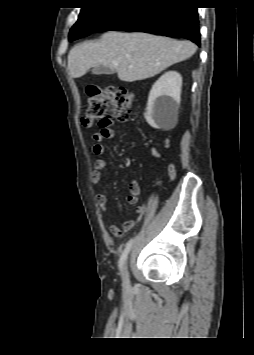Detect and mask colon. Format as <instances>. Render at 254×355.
<instances>
[{
    "instance_id": "colon-1",
    "label": "colon",
    "mask_w": 254,
    "mask_h": 355,
    "mask_svg": "<svg viewBox=\"0 0 254 355\" xmlns=\"http://www.w3.org/2000/svg\"><path fill=\"white\" fill-rule=\"evenodd\" d=\"M87 94L89 98L82 118L84 126L90 127L96 123L102 125L108 103L112 106L113 116L117 121L126 122L129 119L133 93L126 88L102 89L97 86H88ZM169 176L173 179L175 172L171 171Z\"/></svg>"
}]
</instances>
